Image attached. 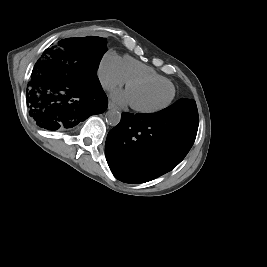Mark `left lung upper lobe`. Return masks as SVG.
Returning a JSON list of instances; mask_svg holds the SVG:
<instances>
[{"mask_svg":"<svg viewBox=\"0 0 267 267\" xmlns=\"http://www.w3.org/2000/svg\"><path fill=\"white\" fill-rule=\"evenodd\" d=\"M158 113H180L198 117L196 102L194 100L183 98Z\"/></svg>","mask_w":267,"mask_h":267,"instance_id":"obj_1","label":"left lung upper lobe"}]
</instances>
